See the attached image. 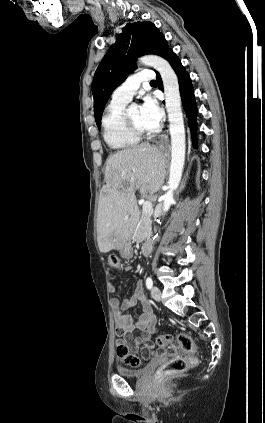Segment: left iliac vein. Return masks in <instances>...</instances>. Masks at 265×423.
<instances>
[{
  "instance_id": "left-iliac-vein-1",
  "label": "left iliac vein",
  "mask_w": 265,
  "mask_h": 423,
  "mask_svg": "<svg viewBox=\"0 0 265 423\" xmlns=\"http://www.w3.org/2000/svg\"><path fill=\"white\" fill-rule=\"evenodd\" d=\"M152 298L156 301L161 300V291L158 287L154 286L151 290Z\"/></svg>"
}]
</instances>
